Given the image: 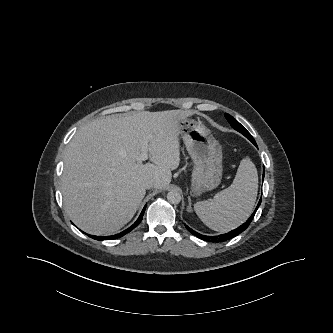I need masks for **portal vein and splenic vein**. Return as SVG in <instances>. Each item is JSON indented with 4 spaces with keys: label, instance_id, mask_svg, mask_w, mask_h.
Here are the masks:
<instances>
[{
    "label": "portal vein and splenic vein",
    "instance_id": "portal-vein-and-splenic-vein-1",
    "mask_svg": "<svg viewBox=\"0 0 333 333\" xmlns=\"http://www.w3.org/2000/svg\"><path fill=\"white\" fill-rule=\"evenodd\" d=\"M148 142L147 141H143L141 143V154H140V157H139V160L140 161H145L148 159Z\"/></svg>",
    "mask_w": 333,
    "mask_h": 333
}]
</instances>
